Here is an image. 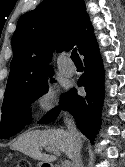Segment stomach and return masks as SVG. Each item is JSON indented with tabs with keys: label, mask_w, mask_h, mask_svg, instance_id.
<instances>
[{
	"label": "stomach",
	"mask_w": 125,
	"mask_h": 167,
	"mask_svg": "<svg viewBox=\"0 0 125 167\" xmlns=\"http://www.w3.org/2000/svg\"><path fill=\"white\" fill-rule=\"evenodd\" d=\"M43 166V163H39V167H42Z\"/></svg>",
	"instance_id": "obj_1"
}]
</instances>
